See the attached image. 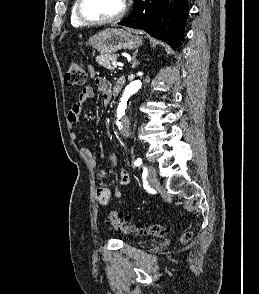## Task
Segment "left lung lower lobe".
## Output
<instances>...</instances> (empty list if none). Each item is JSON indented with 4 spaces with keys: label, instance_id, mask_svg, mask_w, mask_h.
I'll return each mask as SVG.
<instances>
[{
    "label": "left lung lower lobe",
    "instance_id": "1",
    "mask_svg": "<svg viewBox=\"0 0 259 294\" xmlns=\"http://www.w3.org/2000/svg\"><path fill=\"white\" fill-rule=\"evenodd\" d=\"M188 12V0H135L133 11L118 24L143 29L176 49Z\"/></svg>",
    "mask_w": 259,
    "mask_h": 294
}]
</instances>
